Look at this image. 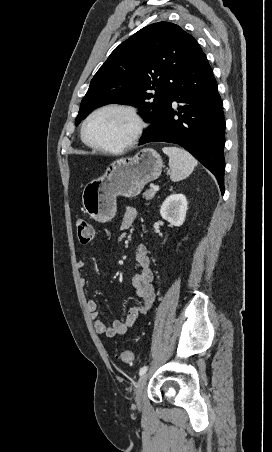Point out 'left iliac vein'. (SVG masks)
<instances>
[{"instance_id":"4c4485c4","label":"left iliac vein","mask_w":272,"mask_h":452,"mask_svg":"<svg viewBox=\"0 0 272 452\" xmlns=\"http://www.w3.org/2000/svg\"><path fill=\"white\" fill-rule=\"evenodd\" d=\"M147 379H148V374L144 373L143 375L140 376L137 384H136V403L138 406L141 405L142 402V395H143V390L146 386L147 383Z\"/></svg>"}]
</instances>
